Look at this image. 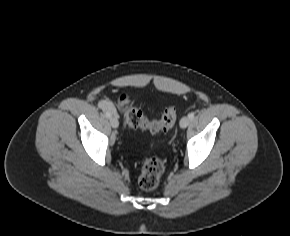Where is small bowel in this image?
I'll return each mask as SVG.
<instances>
[{"label": "small bowel", "instance_id": "c3829d8e", "mask_svg": "<svg viewBox=\"0 0 290 236\" xmlns=\"http://www.w3.org/2000/svg\"><path fill=\"white\" fill-rule=\"evenodd\" d=\"M100 107L102 109H104V110H108V111H111V112H114L115 111L112 103L109 100H103V101H101Z\"/></svg>", "mask_w": 290, "mask_h": 236}]
</instances>
